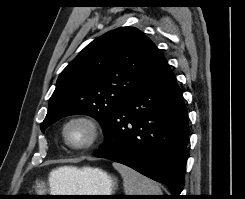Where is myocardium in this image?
<instances>
[{"label": "myocardium", "mask_w": 245, "mask_h": 199, "mask_svg": "<svg viewBox=\"0 0 245 199\" xmlns=\"http://www.w3.org/2000/svg\"><path fill=\"white\" fill-rule=\"evenodd\" d=\"M74 122H82L89 127L90 130V138L89 140L82 145H74L72 144L67 136L68 127ZM102 131L99 123L91 116L85 114H76L69 117L63 124L62 127V136L65 144L75 150V151H86L93 148L101 139Z\"/></svg>", "instance_id": "f54148a6"}]
</instances>
